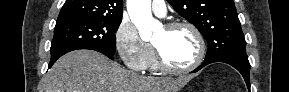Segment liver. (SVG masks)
I'll list each match as a JSON object with an SVG mask.
<instances>
[{"label": "liver", "instance_id": "6515ba94", "mask_svg": "<svg viewBox=\"0 0 289 92\" xmlns=\"http://www.w3.org/2000/svg\"><path fill=\"white\" fill-rule=\"evenodd\" d=\"M184 79L143 77L93 50L62 56L43 80V92H177Z\"/></svg>", "mask_w": 289, "mask_h": 92}]
</instances>
